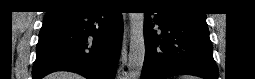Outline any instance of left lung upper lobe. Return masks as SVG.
<instances>
[{
  "mask_svg": "<svg viewBox=\"0 0 255 79\" xmlns=\"http://www.w3.org/2000/svg\"><path fill=\"white\" fill-rule=\"evenodd\" d=\"M160 2L165 7L181 9V7L178 5V3H180V2H178V1H175V0H163V1H160ZM198 15H201V16L205 17V14H198Z\"/></svg>",
  "mask_w": 255,
  "mask_h": 79,
  "instance_id": "obj_1",
  "label": "left lung upper lobe"
}]
</instances>
